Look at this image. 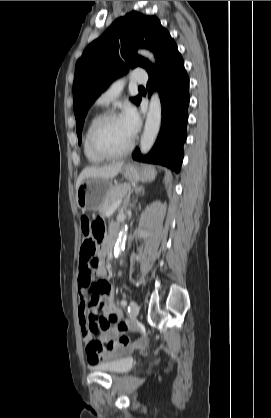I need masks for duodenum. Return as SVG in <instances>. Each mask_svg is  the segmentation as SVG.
<instances>
[{"label": "duodenum", "mask_w": 271, "mask_h": 418, "mask_svg": "<svg viewBox=\"0 0 271 418\" xmlns=\"http://www.w3.org/2000/svg\"><path fill=\"white\" fill-rule=\"evenodd\" d=\"M117 236H118L117 229L112 230L111 235H110V242H109V247L110 248H112L114 246V244L116 243Z\"/></svg>", "instance_id": "1"}]
</instances>
